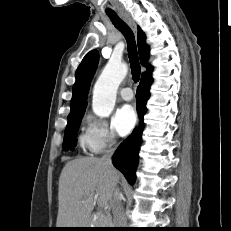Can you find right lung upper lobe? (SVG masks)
<instances>
[{"instance_id": "1", "label": "right lung upper lobe", "mask_w": 231, "mask_h": 231, "mask_svg": "<svg viewBox=\"0 0 231 231\" xmlns=\"http://www.w3.org/2000/svg\"><path fill=\"white\" fill-rule=\"evenodd\" d=\"M146 36L140 28H138V51L141 65L146 67V71L142 73L141 79L151 76L152 67L147 64L149 57V47L145 43ZM98 57V51H90L82 60L76 70V82L72 88L71 111L68 117L84 113L86 108V99L90 81L92 77V68Z\"/></svg>"}]
</instances>
